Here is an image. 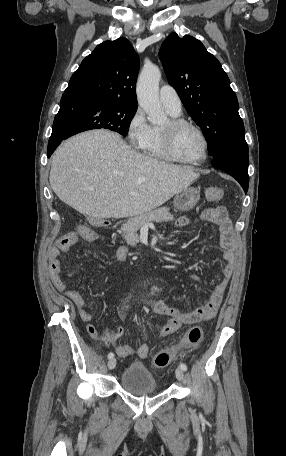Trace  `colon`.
Here are the masks:
<instances>
[{
  "label": "colon",
  "mask_w": 286,
  "mask_h": 456,
  "mask_svg": "<svg viewBox=\"0 0 286 456\" xmlns=\"http://www.w3.org/2000/svg\"><path fill=\"white\" fill-rule=\"evenodd\" d=\"M224 195V191L222 188L214 187L209 188L206 191V198L209 201H214L220 199ZM79 233L82 235H89L91 234V229L86 226L79 227ZM204 337V332L201 327H193L191 328L183 337L181 344L178 347L162 350L158 352L154 358L153 362L157 368H165L167 367L176 356L177 352L182 348H192L199 345ZM149 348L147 345H141L138 350L137 354L139 357L144 358L148 355Z\"/></svg>",
  "instance_id": "obj_1"
}]
</instances>
